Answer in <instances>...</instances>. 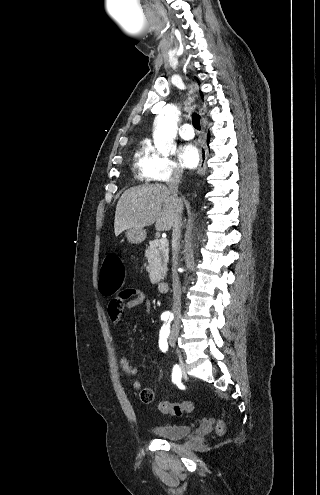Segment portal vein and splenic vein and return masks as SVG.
Listing matches in <instances>:
<instances>
[{"label": "portal vein and splenic vein", "mask_w": 320, "mask_h": 495, "mask_svg": "<svg viewBox=\"0 0 320 495\" xmlns=\"http://www.w3.org/2000/svg\"><path fill=\"white\" fill-rule=\"evenodd\" d=\"M160 243H161L162 245H167V244H168V240H167L166 238L161 239Z\"/></svg>", "instance_id": "1"}]
</instances>
